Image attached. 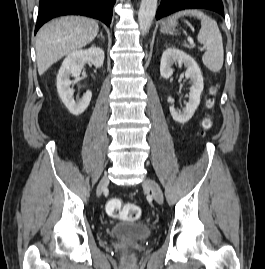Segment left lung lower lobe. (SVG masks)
I'll use <instances>...</instances> for the list:
<instances>
[{
  "instance_id": "obj_1",
  "label": "left lung lower lobe",
  "mask_w": 265,
  "mask_h": 269,
  "mask_svg": "<svg viewBox=\"0 0 265 269\" xmlns=\"http://www.w3.org/2000/svg\"><path fill=\"white\" fill-rule=\"evenodd\" d=\"M194 8L208 9L224 15L222 0H161L156 19L158 20L180 10Z\"/></svg>"
}]
</instances>
